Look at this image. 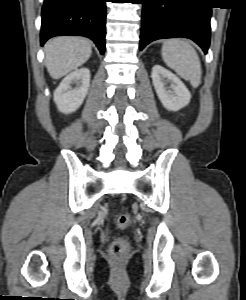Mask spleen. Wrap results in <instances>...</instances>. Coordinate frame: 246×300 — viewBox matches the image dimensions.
<instances>
[{
	"label": "spleen",
	"instance_id": "3e777b00",
	"mask_svg": "<svg viewBox=\"0 0 246 300\" xmlns=\"http://www.w3.org/2000/svg\"><path fill=\"white\" fill-rule=\"evenodd\" d=\"M162 58L166 65L180 77L189 80L196 88L201 82V63L195 49L181 39L166 40L162 46Z\"/></svg>",
	"mask_w": 246,
	"mask_h": 300
}]
</instances>
